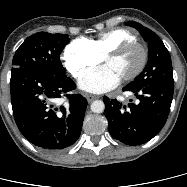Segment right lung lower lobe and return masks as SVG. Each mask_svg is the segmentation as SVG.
Here are the masks:
<instances>
[{
    "instance_id": "1",
    "label": "right lung lower lobe",
    "mask_w": 187,
    "mask_h": 187,
    "mask_svg": "<svg viewBox=\"0 0 187 187\" xmlns=\"http://www.w3.org/2000/svg\"><path fill=\"white\" fill-rule=\"evenodd\" d=\"M11 103L15 122L23 136L46 150H61L74 144L80 136L87 100L69 94L75 83L65 74L29 68L11 72ZM69 106L52 108L60 97Z\"/></svg>"
}]
</instances>
